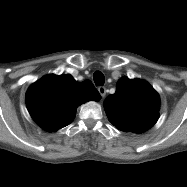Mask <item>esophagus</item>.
<instances>
[{"instance_id": "obj_1", "label": "esophagus", "mask_w": 187, "mask_h": 187, "mask_svg": "<svg viewBox=\"0 0 187 187\" xmlns=\"http://www.w3.org/2000/svg\"><path fill=\"white\" fill-rule=\"evenodd\" d=\"M98 92L101 95V97L103 98L106 94V88L104 86H99L98 87Z\"/></svg>"}]
</instances>
